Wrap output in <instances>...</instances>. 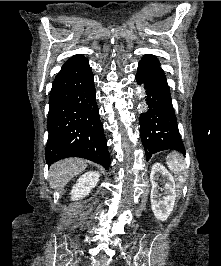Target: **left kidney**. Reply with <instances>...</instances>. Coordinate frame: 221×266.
I'll return each mask as SVG.
<instances>
[{
    "label": "left kidney",
    "mask_w": 221,
    "mask_h": 266,
    "mask_svg": "<svg viewBox=\"0 0 221 266\" xmlns=\"http://www.w3.org/2000/svg\"><path fill=\"white\" fill-rule=\"evenodd\" d=\"M158 174H161L164 177L165 196L163 197L160 196L157 189L158 184L156 182V178ZM150 181L152 185L150 195L152 211L158 220L165 221L174 208L176 200L175 181L169 171L161 163L158 162L152 166Z\"/></svg>",
    "instance_id": "5707ae66"
}]
</instances>
